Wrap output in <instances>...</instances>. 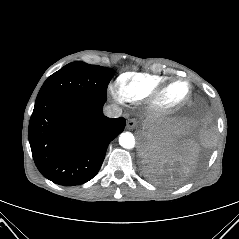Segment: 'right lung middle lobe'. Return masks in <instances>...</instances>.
<instances>
[{
	"mask_svg": "<svg viewBox=\"0 0 239 239\" xmlns=\"http://www.w3.org/2000/svg\"><path fill=\"white\" fill-rule=\"evenodd\" d=\"M114 70L81 61L67 64L47 78L36 101L58 95L89 96L107 100V86Z\"/></svg>",
	"mask_w": 239,
	"mask_h": 239,
	"instance_id": "right-lung-middle-lobe-1",
	"label": "right lung middle lobe"
}]
</instances>
